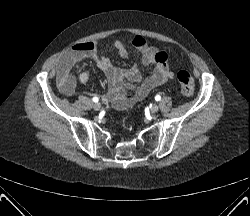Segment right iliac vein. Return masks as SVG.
<instances>
[{"label":"right iliac vein","mask_w":250,"mask_h":216,"mask_svg":"<svg viewBox=\"0 0 250 216\" xmlns=\"http://www.w3.org/2000/svg\"><path fill=\"white\" fill-rule=\"evenodd\" d=\"M93 108H94V110L98 111V110H100V108H101V104L97 102V103H95V104L93 105Z\"/></svg>","instance_id":"right-iliac-vein-1"}]
</instances>
